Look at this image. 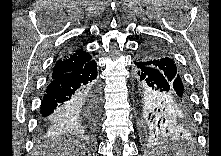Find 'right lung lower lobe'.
<instances>
[{
  "label": "right lung lower lobe",
  "instance_id": "right-lung-lower-lobe-1",
  "mask_svg": "<svg viewBox=\"0 0 221 156\" xmlns=\"http://www.w3.org/2000/svg\"><path fill=\"white\" fill-rule=\"evenodd\" d=\"M100 108L96 62L59 75L49 82L43 96L38 119L41 134L94 128Z\"/></svg>",
  "mask_w": 221,
  "mask_h": 156
}]
</instances>
